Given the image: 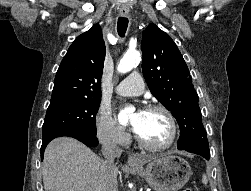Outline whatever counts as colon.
I'll return each instance as SVG.
<instances>
[{"mask_svg":"<svg viewBox=\"0 0 251 191\" xmlns=\"http://www.w3.org/2000/svg\"><path fill=\"white\" fill-rule=\"evenodd\" d=\"M183 191H194V189L190 188V187H186V188L183 189Z\"/></svg>","mask_w":251,"mask_h":191,"instance_id":"colon-1","label":"colon"}]
</instances>
